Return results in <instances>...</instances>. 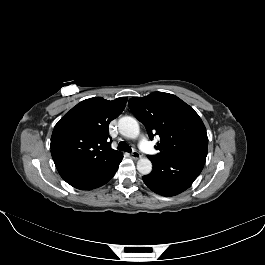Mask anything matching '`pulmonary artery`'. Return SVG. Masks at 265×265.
I'll use <instances>...</instances> for the list:
<instances>
[{
    "label": "pulmonary artery",
    "instance_id": "e3ab8cb5",
    "mask_svg": "<svg viewBox=\"0 0 265 265\" xmlns=\"http://www.w3.org/2000/svg\"><path fill=\"white\" fill-rule=\"evenodd\" d=\"M139 146L140 148L145 151L146 153H148L149 155H154L155 154V150L151 147L148 139L145 136H142L139 139Z\"/></svg>",
    "mask_w": 265,
    "mask_h": 265
}]
</instances>
